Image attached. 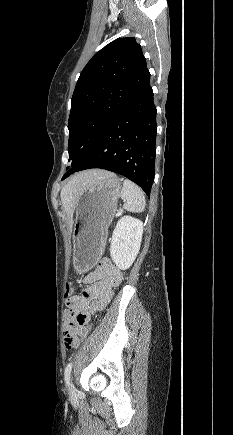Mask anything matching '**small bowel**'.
<instances>
[{
  "label": "small bowel",
  "instance_id": "obj_1",
  "mask_svg": "<svg viewBox=\"0 0 233 435\" xmlns=\"http://www.w3.org/2000/svg\"><path fill=\"white\" fill-rule=\"evenodd\" d=\"M122 278L121 271L109 259H102L97 267L84 277L86 286L81 295L66 298L68 310L64 313V326L71 324L77 342L89 333L86 320L94 317L109 304L113 290L121 284Z\"/></svg>",
  "mask_w": 233,
  "mask_h": 435
}]
</instances>
